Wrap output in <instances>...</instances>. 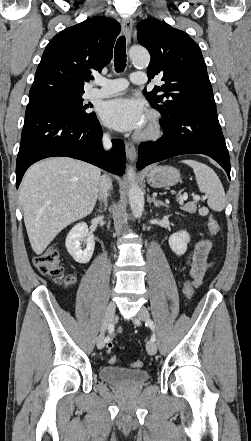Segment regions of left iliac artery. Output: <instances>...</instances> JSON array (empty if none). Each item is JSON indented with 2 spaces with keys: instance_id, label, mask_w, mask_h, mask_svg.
I'll list each match as a JSON object with an SVG mask.
<instances>
[{
  "instance_id": "obj_1",
  "label": "left iliac artery",
  "mask_w": 251,
  "mask_h": 441,
  "mask_svg": "<svg viewBox=\"0 0 251 441\" xmlns=\"http://www.w3.org/2000/svg\"><path fill=\"white\" fill-rule=\"evenodd\" d=\"M145 324H146V326H149L151 328V330L153 331V334L151 336V341L155 342L156 334H155V325H154L153 321L149 319V320L146 321Z\"/></svg>"
}]
</instances>
